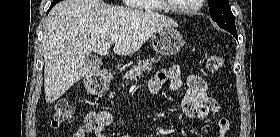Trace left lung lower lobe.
<instances>
[{
	"label": "left lung lower lobe",
	"mask_w": 280,
	"mask_h": 137,
	"mask_svg": "<svg viewBox=\"0 0 280 137\" xmlns=\"http://www.w3.org/2000/svg\"><path fill=\"white\" fill-rule=\"evenodd\" d=\"M231 34H233V36L238 40V36H237V33H231Z\"/></svg>",
	"instance_id": "left-lung-lower-lobe-1"
}]
</instances>
